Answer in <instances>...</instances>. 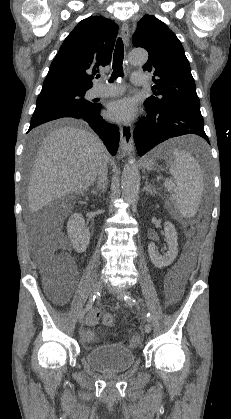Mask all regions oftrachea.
Wrapping results in <instances>:
<instances>
[{"label":"trachea","mask_w":231,"mask_h":419,"mask_svg":"<svg viewBox=\"0 0 231 419\" xmlns=\"http://www.w3.org/2000/svg\"><path fill=\"white\" fill-rule=\"evenodd\" d=\"M123 58H124V45L121 38H118L115 50H114V56H113V72L110 78V81H114L117 77L123 76ZM99 77V76H98Z\"/></svg>","instance_id":"trachea-1"}]
</instances>
